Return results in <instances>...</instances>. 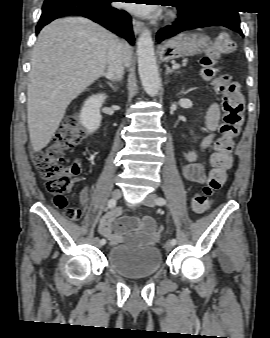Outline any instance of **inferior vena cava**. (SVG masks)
Returning a JSON list of instances; mask_svg holds the SVG:
<instances>
[{
  "label": "inferior vena cava",
  "mask_w": 270,
  "mask_h": 338,
  "mask_svg": "<svg viewBox=\"0 0 270 338\" xmlns=\"http://www.w3.org/2000/svg\"><path fill=\"white\" fill-rule=\"evenodd\" d=\"M127 65V53L123 41L116 39L113 41L108 57L107 77L112 80H120L124 75Z\"/></svg>",
  "instance_id": "inferior-vena-cava-1"
}]
</instances>
